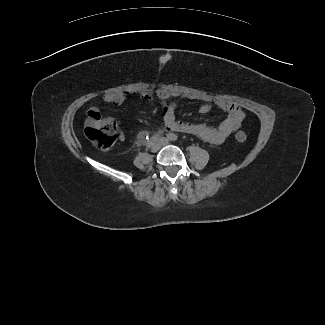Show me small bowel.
I'll return each mask as SVG.
<instances>
[{
    "label": "small bowel",
    "mask_w": 325,
    "mask_h": 325,
    "mask_svg": "<svg viewBox=\"0 0 325 325\" xmlns=\"http://www.w3.org/2000/svg\"><path fill=\"white\" fill-rule=\"evenodd\" d=\"M136 94L147 101L159 100L164 104L163 121L165 130L172 132H181L193 134L202 140L219 145L222 144L236 129H238L244 119V114L236 105L217 98L212 100L211 97L199 93L184 92L180 90L141 89ZM127 93L122 91L107 92L102 95V100L108 103L121 104L126 99ZM175 99H190L202 102L199 107L200 113H208L212 109V103L227 113V117L219 124L218 127H211L206 124H194L181 122L176 118ZM99 112L98 108L93 107L89 112ZM119 138L124 139L123 132L119 133Z\"/></svg>",
    "instance_id": "c3829d8e"
}]
</instances>
